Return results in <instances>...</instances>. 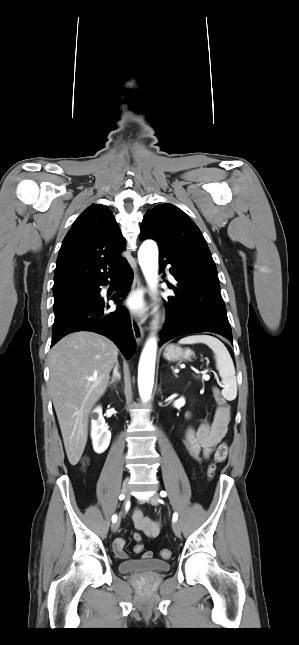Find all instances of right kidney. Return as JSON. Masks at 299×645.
Listing matches in <instances>:
<instances>
[{
	"label": "right kidney",
	"instance_id": "1",
	"mask_svg": "<svg viewBox=\"0 0 299 645\" xmlns=\"http://www.w3.org/2000/svg\"><path fill=\"white\" fill-rule=\"evenodd\" d=\"M93 419L91 422V438L93 449L96 453H103L109 446L111 440V432L105 425V419L102 416V408L97 407L93 411Z\"/></svg>",
	"mask_w": 299,
	"mask_h": 645
}]
</instances>
